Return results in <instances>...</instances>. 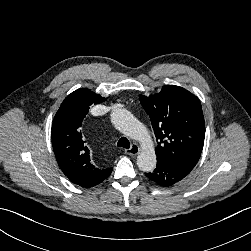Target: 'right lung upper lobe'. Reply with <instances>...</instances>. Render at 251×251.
<instances>
[{
  "label": "right lung upper lobe",
  "instance_id": "obj_1",
  "mask_svg": "<svg viewBox=\"0 0 251 251\" xmlns=\"http://www.w3.org/2000/svg\"><path fill=\"white\" fill-rule=\"evenodd\" d=\"M105 100L87 88H80L64 99L53 120L52 145L58 165L81 187L95 186L111 172V169L95 167L81 132L89 106Z\"/></svg>",
  "mask_w": 251,
  "mask_h": 251
}]
</instances>
